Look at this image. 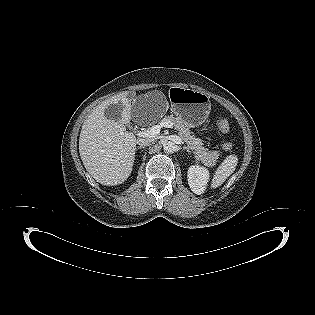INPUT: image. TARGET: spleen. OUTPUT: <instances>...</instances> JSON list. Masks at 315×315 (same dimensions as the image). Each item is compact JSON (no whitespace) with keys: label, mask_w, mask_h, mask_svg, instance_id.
<instances>
[{"label":"spleen","mask_w":315,"mask_h":315,"mask_svg":"<svg viewBox=\"0 0 315 315\" xmlns=\"http://www.w3.org/2000/svg\"><path fill=\"white\" fill-rule=\"evenodd\" d=\"M238 164L236 155L227 156L216 169L211 182V188L220 186L234 171Z\"/></svg>","instance_id":"1"}]
</instances>
